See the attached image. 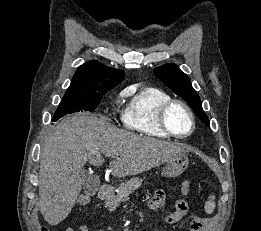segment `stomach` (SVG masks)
I'll use <instances>...</instances> for the list:
<instances>
[{"label": "stomach", "instance_id": "obj_1", "mask_svg": "<svg viewBox=\"0 0 261 231\" xmlns=\"http://www.w3.org/2000/svg\"><path fill=\"white\" fill-rule=\"evenodd\" d=\"M189 158L185 153L173 156L167 161L162 175L165 177H176L182 174L188 167Z\"/></svg>", "mask_w": 261, "mask_h": 231}]
</instances>
